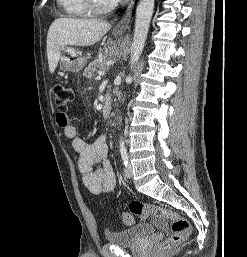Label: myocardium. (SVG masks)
<instances>
[{"label":"myocardium","mask_w":247,"mask_h":257,"mask_svg":"<svg viewBox=\"0 0 247 257\" xmlns=\"http://www.w3.org/2000/svg\"><path fill=\"white\" fill-rule=\"evenodd\" d=\"M88 10L95 14H103L111 11L117 5V2L110 1L106 4H101L98 0H84Z\"/></svg>","instance_id":"1"}]
</instances>
